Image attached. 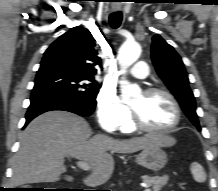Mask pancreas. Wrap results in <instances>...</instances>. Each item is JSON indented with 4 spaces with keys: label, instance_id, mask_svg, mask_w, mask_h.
I'll list each match as a JSON object with an SVG mask.
<instances>
[{
    "label": "pancreas",
    "instance_id": "1",
    "mask_svg": "<svg viewBox=\"0 0 218 191\" xmlns=\"http://www.w3.org/2000/svg\"><path fill=\"white\" fill-rule=\"evenodd\" d=\"M143 182L147 184L148 186H152L153 191H160L161 188L167 184L168 182V176H162V177H150V176H142Z\"/></svg>",
    "mask_w": 218,
    "mask_h": 191
}]
</instances>
